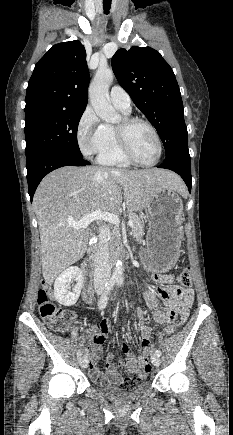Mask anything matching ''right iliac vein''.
Instances as JSON below:
<instances>
[{
    "label": "right iliac vein",
    "mask_w": 233,
    "mask_h": 435,
    "mask_svg": "<svg viewBox=\"0 0 233 435\" xmlns=\"http://www.w3.org/2000/svg\"><path fill=\"white\" fill-rule=\"evenodd\" d=\"M79 364H80V366H81L82 368L87 367V365H88V358H87V356H82V357H80V358H79Z\"/></svg>",
    "instance_id": "63e3f726"
}]
</instances>
